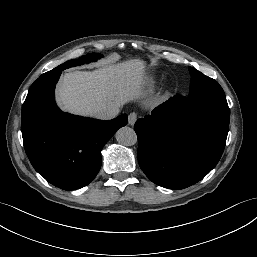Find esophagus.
<instances>
[{"label": "esophagus", "instance_id": "1", "mask_svg": "<svg viewBox=\"0 0 257 257\" xmlns=\"http://www.w3.org/2000/svg\"><path fill=\"white\" fill-rule=\"evenodd\" d=\"M137 120V114L135 112H132L128 116V124L133 126Z\"/></svg>", "mask_w": 257, "mask_h": 257}]
</instances>
